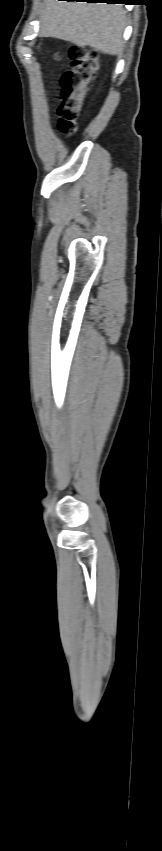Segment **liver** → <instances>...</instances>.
<instances>
[{
  "label": "liver",
  "mask_w": 162,
  "mask_h": 851,
  "mask_svg": "<svg viewBox=\"0 0 162 851\" xmlns=\"http://www.w3.org/2000/svg\"><path fill=\"white\" fill-rule=\"evenodd\" d=\"M39 18L42 37L89 46L108 55L123 51L126 14L120 5L44 0Z\"/></svg>",
  "instance_id": "6515ba94"
}]
</instances>
